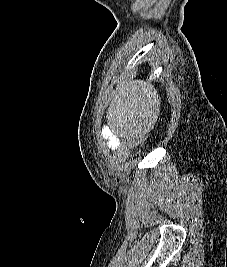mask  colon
<instances>
[{
    "label": "colon",
    "mask_w": 227,
    "mask_h": 267,
    "mask_svg": "<svg viewBox=\"0 0 227 267\" xmlns=\"http://www.w3.org/2000/svg\"><path fill=\"white\" fill-rule=\"evenodd\" d=\"M146 139H140L138 142V147H145ZM134 154H141V149H134Z\"/></svg>",
    "instance_id": "1"
}]
</instances>
